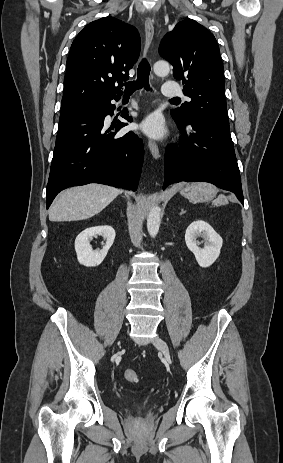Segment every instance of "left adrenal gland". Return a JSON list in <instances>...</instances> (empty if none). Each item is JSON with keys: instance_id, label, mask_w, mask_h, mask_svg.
Returning <instances> with one entry per match:
<instances>
[{"instance_id": "left-adrenal-gland-1", "label": "left adrenal gland", "mask_w": 283, "mask_h": 463, "mask_svg": "<svg viewBox=\"0 0 283 463\" xmlns=\"http://www.w3.org/2000/svg\"><path fill=\"white\" fill-rule=\"evenodd\" d=\"M185 212H186V211H185L183 208H181L180 216H181L182 214H184Z\"/></svg>"}]
</instances>
